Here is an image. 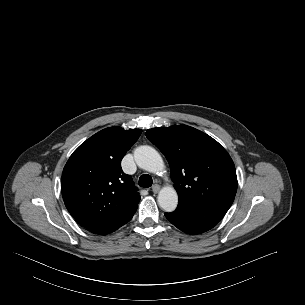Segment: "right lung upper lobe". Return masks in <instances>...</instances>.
<instances>
[{"mask_svg": "<svg viewBox=\"0 0 305 305\" xmlns=\"http://www.w3.org/2000/svg\"><path fill=\"white\" fill-rule=\"evenodd\" d=\"M141 133V129L121 127L101 130L73 152L63 169L61 189L66 208L94 234L115 231L137 210L140 196L120 163Z\"/></svg>", "mask_w": 305, "mask_h": 305, "instance_id": "1", "label": "right lung upper lobe"}]
</instances>
